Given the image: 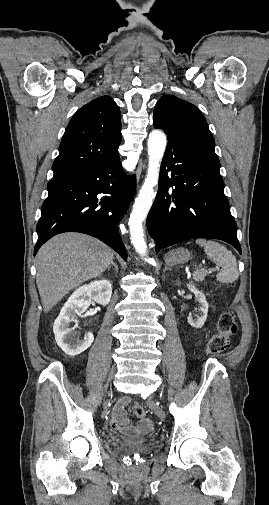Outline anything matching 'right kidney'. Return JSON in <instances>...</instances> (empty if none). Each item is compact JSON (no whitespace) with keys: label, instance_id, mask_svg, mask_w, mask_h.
<instances>
[{"label":"right kidney","instance_id":"right-kidney-1","mask_svg":"<svg viewBox=\"0 0 269 505\" xmlns=\"http://www.w3.org/2000/svg\"><path fill=\"white\" fill-rule=\"evenodd\" d=\"M111 295L110 281L96 280L79 287L69 297L53 325L56 342L67 355L76 356L84 352L94 340V336L90 332L80 339L75 328L69 327L70 323L76 322L75 318L85 312L93 301L103 306L107 305Z\"/></svg>","mask_w":269,"mask_h":505}]
</instances>
